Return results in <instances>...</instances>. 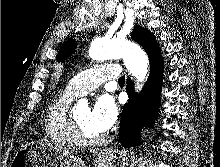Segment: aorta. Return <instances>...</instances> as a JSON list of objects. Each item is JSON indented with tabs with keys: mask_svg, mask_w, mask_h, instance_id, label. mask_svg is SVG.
Segmentation results:
<instances>
[{
	"mask_svg": "<svg viewBox=\"0 0 220 167\" xmlns=\"http://www.w3.org/2000/svg\"><path fill=\"white\" fill-rule=\"evenodd\" d=\"M89 57L96 61L122 58L126 68L138 82L143 83L147 78L148 57L137 44L131 41L119 37L111 40L96 38L90 45ZM83 102L84 100H80V103Z\"/></svg>",
	"mask_w": 220,
	"mask_h": 167,
	"instance_id": "1",
	"label": "aorta"
}]
</instances>
